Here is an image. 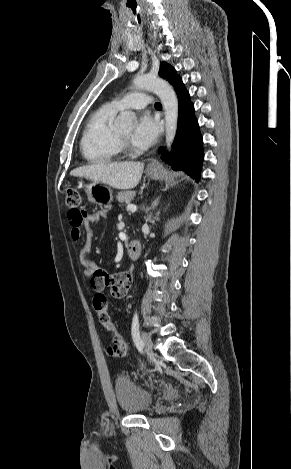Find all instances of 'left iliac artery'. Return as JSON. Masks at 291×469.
<instances>
[{
    "label": "left iliac artery",
    "instance_id": "obj_1",
    "mask_svg": "<svg viewBox=\"0 0 291 469\" xmlns=\"http://www.w3.org/2000/svg\"><path fill=\"white\" fill-rule=\"evenodd\" d=\"M131 334H132V338H133L135 346L142 353L143 342L140 338V333H139V317H138L137 311H135L134 316H133Z\"/></svg>",
    "mask_w": 291,
    "mask_h": 469
}]
</instances>
